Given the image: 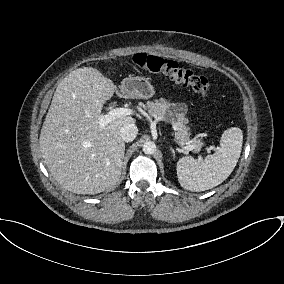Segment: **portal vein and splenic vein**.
<instances>
[{
  "mask_svg": "<svg viewBox=\"0 0 284 284\" xmlns=\"http://www.w3.org/2000/svg\"><path fill=\"white\" fill-rule=\"evenodd\" d=\"M131 114H133V111L131 109L115 108V109L110 110L105 115H102L99 118L98 123H99V126L101 128H104L108 123H110V122H112V121H114L118 118H121V117H124V116H127V115H131ZM175 141L187 151H191V150L200 151V147L197 146V145L182 143V142L177 141V139H175ZM213 148H214L213 146L207 148V152H210ZM198 159H199V161H201L202 156L199 155Z\"/></svg>",
  "mask_w": 284,
  "mask_h": 284,
  "instance_id": "1",
  "label": "portal vein and splenic vein"
}]
</instances>
